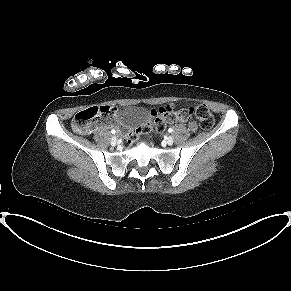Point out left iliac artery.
Wrapping results in <instances>:
<instances>
[{
  "label": "left iliac artery",
  "mask_w": 291,
  "mask_h": 291,
  "mask_svg": "<svg viewBox=\"0 0 291 291\" xmlns=\"http://www.w3.org/2000/svg\"><path fill=\"white\" fill-rule=\"evenodd\" d=\"M168 132H169V133H172V132H173V129H172V128H169V129H168Z\"/></svg>",
  "instance_id": "obj_1"
}]
</instances>
